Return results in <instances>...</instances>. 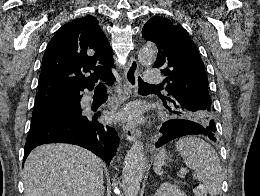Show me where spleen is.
Returning a JSON list of instances; mask_svg holds the SVG:
<instances>
[{"instance_id":"obj_1","label":"spleen","mask_w":260,"mask_h":196,"mask_svg":"<svg viewBox=\"0 0 260 196\" xmlns=\"http://www.w3.org/2000/svg\"><path fill=\"white\" fill-rule=\"evenodd\" d=\"M175 146L178 154L183 158L184 164L190 170H194L193 178L204 184L210 196H218L221 192L223 176L221 162L213 146L201 138H194V136L181 138ZM166 158V150H161L154 160L155 174L161 176Z\"/></svg>"}]
</instances>
